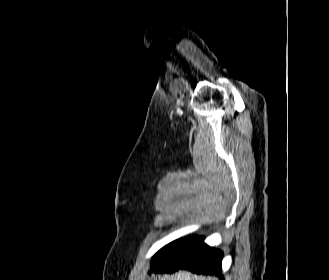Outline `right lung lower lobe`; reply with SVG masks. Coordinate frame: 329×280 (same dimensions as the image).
I'll list each match as a JSON object with an SVG mask.
<instances>
[{"label":"right lung lower lobe","instance_id":"obj_1","mask_svg":"<svg viewBox=\"0 0 329 280\" xmlns=\"http://www.w3.org/2000/svg\"><path fill=\"white\" fill-rule=\"evenodd\" d=\"M222 257V251L210 248L202 237L182 238L171 245L151 271L173 273L187 269L198 274L218 275L224 279L221 274Z\"/></svg>","mask_w":329,"mask_h":280}]
</instances>
